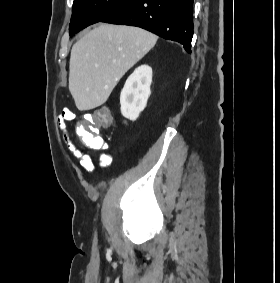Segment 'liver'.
Masks as SVG:
<instances>
[{"label": "liver", "mask_w": 280, "mask_h": 283, "mask_svg": "<svg viewBox=\"0 0 280 283\" xmlns=\"http://www.w3.org/2000/svg\"><path fill=\"white\" fill-rule=\"evenodd\" d=\"M138 27L101 23L71 50L69 91L80 111L103 105L122 76L155 45Z\"/></svg>", "instance_id": "6515ba94"}]
</instances>
